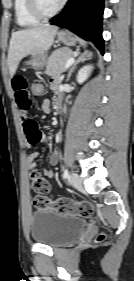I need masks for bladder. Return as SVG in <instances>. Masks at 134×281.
<instances>
[{
    "label": "bladder",
    "mask_w": 134,
    "mask_h": 281,
    "mask_svg": "<svg viewBox=\"0 0 134 281\" xmlns=\"http://www.w3.org/2000/svg\"><path fill=\"white\" fill-rule=\"evenodd\" d=\"M85 227L82 217L37 210L31 216L30 234L36 243L62 247L76 240Z\"/></svg>",
    "instance_id": "obj_1"
}]
</instances>
